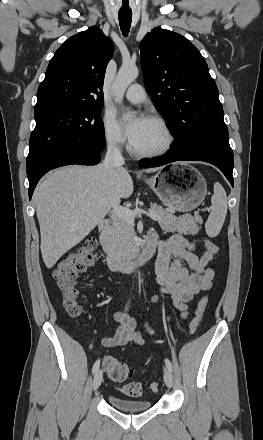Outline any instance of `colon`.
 <instances>
[{
  "mask_svg": "<svg viewBox=\"0 0 263 440\" xmlns=\"http://www.w3.org/2000/svg\"><path fill=\"white\" fill-rule=\"evenodd\" d=\"M204 245L208 252L213 255H216L219 251L217 244L209 239L204 240ZM96 249V240L90 238L78 250L61 259L53 270V279L61 292L65 310L71 317L76 318L81 313V307L78 302L80 289L76 281L77 276L96 262ZM205 303V298L201 299L198 303L195 316L190 324V331L192 333H195L200 326ZM102 364L106 375L114 382H123L134 374V370L130 365L110 356H106ZM158 388L159 386L156 382L151 383L149 386L151 392H157ZM122 390L127 395L138 396L143 392V385L138 382H132L124 385Z\"/></svg>",
  "mask_w": 263,
  "mask_h": 440,
  "instance_id": "obj_1",
  "label": "colon"
}]
</instances>
